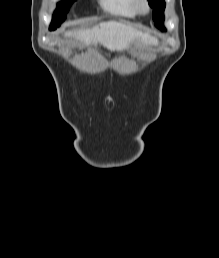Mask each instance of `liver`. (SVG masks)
<instances>
[{"label":"liver","instance_id":"liver-1","mask_svg":"<svg viewBox=\"0 0 219 258\" xmlns=\"http://www.w3.org/2000/svg\"><path fill=\"white\" fill-rule=\"evenodd\" d=\"M65 36L74 37L86 46L99 43L110 51H123L134 41L143 44L154 42V39L148 34L117 21L101 22L90 29L68 32Z\"/></svg>","mask_w":219,"mask_h":258}]
</instances>
